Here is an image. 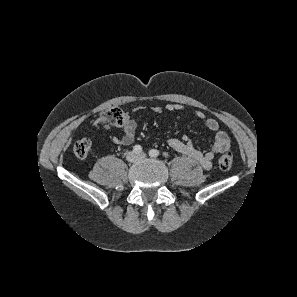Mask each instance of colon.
<instances>
[{
  "mask_svg": "<svg viewBox=\"0 0 297 297\" xmlns=\"http://www.w3.org/2000/svg\"><path fill=\"white\" fill-rule=\"evenodd\" d=\"M100 120L104 123H109L113 126H121L125 121L124 112L113 107L101 113ZM91 149V140L89 138H81L77 140L73 146V151L76 157L85 158L88 156ZM233 164V155L230 151H224L218 158V165L221 170L228 171Z\"/></svg>",
  "mask_w": 297,
  "mask_h": 297,
  "instance_id": "5ec220e1",
  "label": "colon"
}]
</instances>
